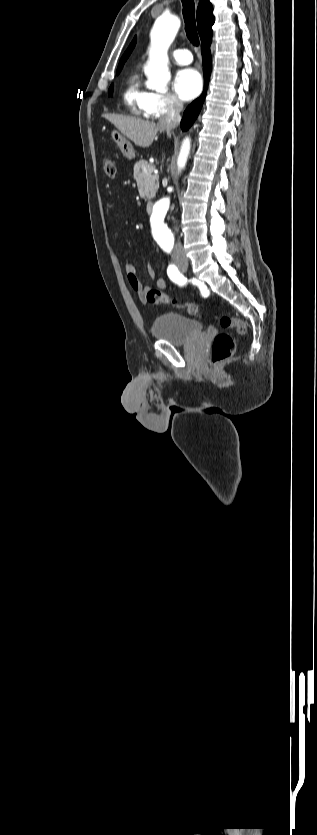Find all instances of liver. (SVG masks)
Returning a JSON list of instances; mask_svg holds the SVG:
<instances>
[{"label": "liver", "instance_id": "liver-1", "mask_svg": "<svg viewBox=\"0 0 317 835\" xmlns=\"http://www.w3.org/2000/svg\"><path fill=\"white\" fill-rule=\"evenodd\" d=\"M123 135L130 139L135 145L143 148L151 146L158 132H163L158 124L146 120L125 117L115 114L103 115Z\"/></svg>", "mask_w": 317, "mask_h": 835}]
</instances>
